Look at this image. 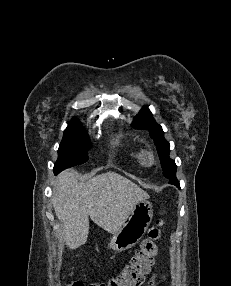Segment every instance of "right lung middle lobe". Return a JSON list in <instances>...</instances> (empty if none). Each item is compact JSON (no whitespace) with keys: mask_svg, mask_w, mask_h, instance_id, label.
Instances as JSON below:
<instances>
[{"mask_svg":"<svg viewBox=\"0 0 231 286\" xmlns=\"http://www.w3.org/2000/svg\"><path fill=\"white\" fill-rule=\"evenodd\" d=\"M89 139L80 122L74 119L64 131L58 149V160L54 172L59 173L65 168L79 165L88 160Z\"/></svg>","mask_w":231,"mask_h":286,"instance_id":"dd1d6c3e","label":"right lung middle lobe"}]
</instances>
